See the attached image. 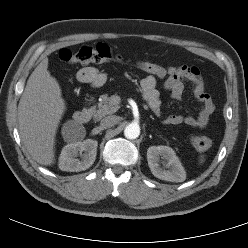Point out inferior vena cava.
Returning a JSON list of instances; mask_svg holds the SVG:
<instances>
[{
  "label": "inferior vena cava",
  "mask_w": 248,
  "mask_h": 248,
  "mask_svg": "<svg viewBox=\"0 0 248 248\" xmlns=\"http://www.w3.org/2000/svg\"><path fill=\"white\" fill-rule=\"evenodd\" d=\"M118 123V117L115 115L107 116L103 118L100 122V126L104 129L110 128Z\"/></svg>",
  "instance_id": "1"
}]
</instances>
